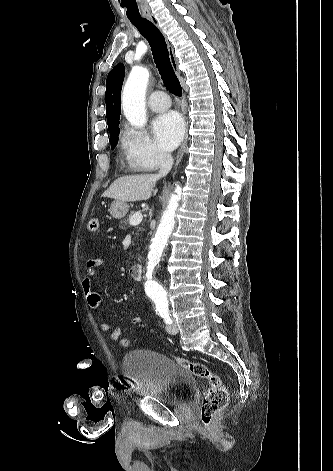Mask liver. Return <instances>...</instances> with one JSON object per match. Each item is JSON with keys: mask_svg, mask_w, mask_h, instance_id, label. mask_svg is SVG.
I'll list each match as a JSON object with an SVG mask.
<instances>
[{"mask_svg": "<svg viewBox=\"0 0 333 471\" xmlns=\"http://www.w3.org/2000/svg\"><path fill=\"white\" fill-rule=\"evenodd\" d=\"M159 178L154 174L127 175L116 179L103 193V197L113 198L121 202L147 200L154 195L153 191Z\"/></svg>", "mask_w": 333, "mask_h": 471, "instance_id": "obj_1", "label": "liver"}]
</instances>
